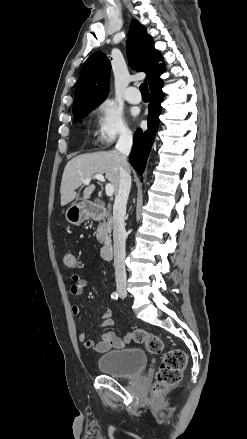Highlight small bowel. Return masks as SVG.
Masks as SVG:
<instances>
[{
	"mask_svg": "<svg viewBox=\"0 0 247 439\" xmlns=\"http://www.w3.org/2000/svg\"><path fill=\"white\" fill-rule=\"evenodd\" d=\"M71 280V294L74 296L81 295L87 285L86 280L77 273L72 274ZM71 311L73 315L77 316L80 312V309L77 305H73L71 307ZM111 316V310L107 309L100 318L99 326L108 328L112 327L114 325V321ZM130 338L131 335H127L125 338H120L114 332L107 331L102 334L100 341H96L93 338H89L85 332H81L79 334V341L83 344V346L87 349H93L96 353H105L114 348H121L130 341Z\"/></svg>",
	"mask_w": 247,
	"mask_h": 439,
	"instance_id": "c3829d8e",
	"label": "small bowel"
}]
</instances>
